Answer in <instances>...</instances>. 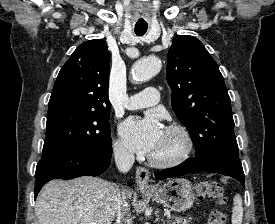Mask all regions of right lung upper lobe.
<instances>
[{
	"mask_svg": "<svg viewBox=\"0 0 275 224\" xmlns=\"http://www.w3.org/2000/svg\"><path fill=\"white\" fill-rule=\"evenodd\" d=\"M110 52L105 41L82 43L61 68L48 104V114L63 110L109 111Z\"/></svg>",
	"mask_w": 275,
	"mask_h": 224,
	"instance_id": "obj_1",
	"label": "right lung upper lobe"
}]
</instances>
